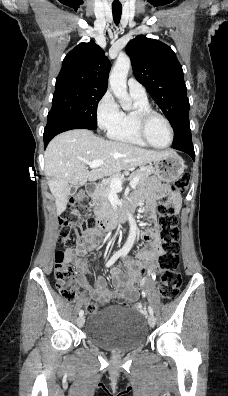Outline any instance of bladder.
I'll return each mask as SVG.
<instances>
[{
  "label": "bladder",
  "instance_id": "bladder-1",
  "mask_svg": "<svg viewBox=\"0 0 228 396\" xmlns=\"http://www.w3.org/2000/svg\"><path fill=\"white\" fill-rule=\"evenodd\" d=\"M85 337L95 345L114 351H128L147 340L144 317L133 310L107 308L90 315Z\"/></svg>",
  "mask_w": 228,
  "mask_h": 396
}]
</instances>
